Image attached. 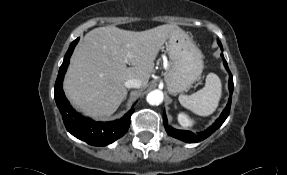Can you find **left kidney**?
<instances>
[{
    "instance_id": "obj_1",
    "label": "left kidney",
    "mask_w": 287,
    "mask_h": 175,
    "mask_svg": "<svg viewBox=\"0 0 287 175\" xmlns=\"http://www.w3.org/2000/svg\"><path fill=\"white\" fill-rule=\"evenodd\" d=\"M178 121L182 126H189L190 124H192V121L184 113H180L178 115Z\"/></svg>"
}]
</instances>
